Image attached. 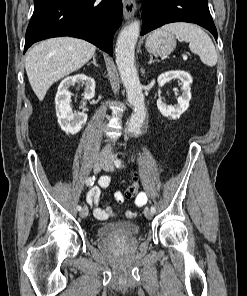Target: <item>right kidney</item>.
<instances>
[{
    "instance_id": "obj_1",
    "label": "right kidney",
    "mask_w": 247,
    "mask_h": 296,
    "mask_svg": "<svg viewBox=\"0 0 247 296\" xmlns=\"http://www.w3.org/2000/svg\"><path fill=\"white\" fill-rule=\"evenodd\" d=\"M75 83L85 85L83 106H86V100L92 99L95 95V81L85 74L69 76L61 81L55 97L56 115L61 129L72 135L78 133L87 121L85 110L73 113L70 106L71 93L68 88Z\"/></svg>"
}]
</instances>
